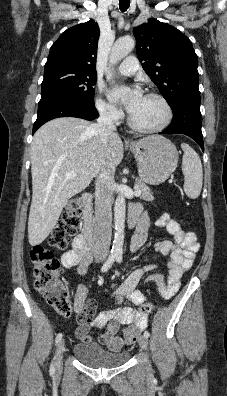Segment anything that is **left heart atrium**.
<instances>
[{"label": "left heart atrium", "instance_id": "obj_1", "mask_svg": "<svg viewBox=\"0 0 227 396\" xmlns=\"http://www.w3.org/2000/svg\"><path fill=\"white\" fill-rule=\"evenodd\" d=\"M110 98L115 102L123 103L129 113H132L144 98L139 88L128 90L123 87H115L110 91Z\"/></svg>", "mask_w": 227, "mask_h": 396}]
</instances>
